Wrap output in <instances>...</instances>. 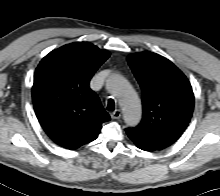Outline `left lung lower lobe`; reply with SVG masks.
<instances>
[{"instance_id":"1","label":"left lung lower lobe","mask_w":220,"mask_h":196,"mask_svg":"<svg viewBox=\"0 0 220 196\" xmlns=\"http://www.w3.org/2000/svg\"><path fill=\"white\" fill-rule=\"evenodd\" d=\"M128 134V137L135 143V145L145 151H156L155 148L149 146L146 142H144L142 139L134 135L133 133L126 131Z\"/></svg>"}]
</instances>
